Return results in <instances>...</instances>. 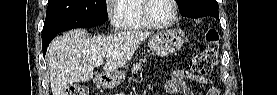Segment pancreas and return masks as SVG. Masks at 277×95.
<instances>
[{
  "instance_id": "1",
  "label": "pancreas",
  "mask_w": 277,
  "mask_h": 95,
  "mask_svg": "<svg viewBox=\"0 0 277 95\" xmlns=\"http://www.w3.org/2000/svg\"><path fill=\"white\" fill-rule=\"evenodd\" d=\"M146 61H147V59L143 58V59H140L139 62L134 63L131 68V73L137 74L138 71L143 67V64H145Z\"/></svg>"
}]
</instances>
